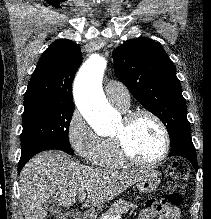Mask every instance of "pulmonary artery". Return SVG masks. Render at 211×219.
Segmentation results:
<instances>
[{
  "label": "pulmonary artery",
  "instance_id": "obj_1",
  "mask_svg": "<svg viewBox=\"0 0 211 219\" xmlns=\"http://www.w3.org/2000/svg\"><path fill=\"white\" fill-rule=\"evenodd\" d=\"M105 93L109 102L117 108L127 109L130 105V94L127 88L117 80L105 84Z\"/></svg>",
  "mask_w": 211,
  "mask_h": 219
}]
</instances>
